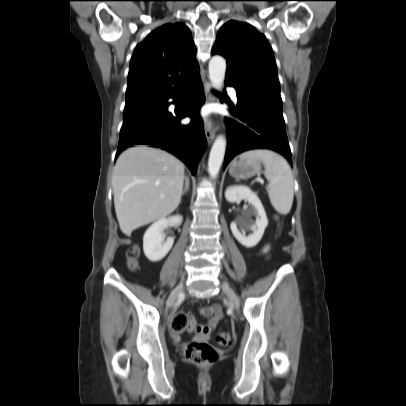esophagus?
Masks as SVG:
<instances>
[{
	"label": "esophagus",
	"mask_w": 406,
	"mask_h": 406,
	"mask_svg": "<svg viewBox=\"0 0 406 406\" xmlns=\"http://www.w3.org/2000/svg\"><path fill=\"white\" fill-rule=\"evenodd\" d=\"M204 91H205L207 102L214 101V96H213V93H212V85L208 80H206L204 82ZM205 136H206L208 144L212 143V141L214 140V137H215V128H213L209 124L206 125V127H205Z\"/></svg>",
	"instance_id": "esophagus-1"
}]
</instances>
